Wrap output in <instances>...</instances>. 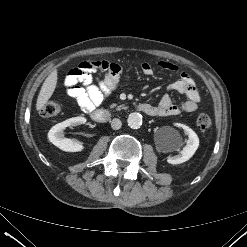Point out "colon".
Returning <instances> with one entry per match:
<instances>
[{
  "label": "colon",
  "mask_w": 247,
  "mask_h": 247,
  "mask_svg": "<svg viewBox=\"0 0 247 247\" xmlns=\"http://www.w3.org/2000/svg\"><path fill=\"white\" fill-rule=\"evenodd\" d=\"M60 106L55 102H47L41 109V114L44 117H53L59 114ZM196 125L199 130L206 131L211 128L212 120L206 113H201L196 118Z\"/></svg>",
  "instance_id": "1"
}]
</instances>
